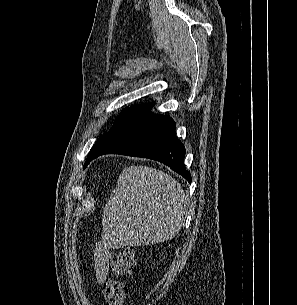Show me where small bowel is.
<instances>
[{"mask_svg": "<svg viewBox=\"0 0 297 305\" xmlns=\"http://www.w3.org/2000/svg\"><path fill=\"white\" fill-rule=\"evenodd\" d=\"M113 257V250L107 241L98 242L93 250V266L98 283H103L110 270V264Z\"/></svg>", "mask_w": 297, "mask_h": 305, "instance_id": "obj_1", "label": "small bowel"}]
</instances>
